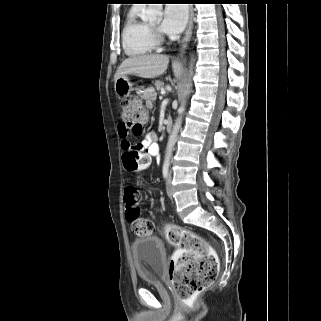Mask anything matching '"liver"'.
Returning <instances> with one entry per match:
<instances>
[{
    "mask_svg": "<svg viewBox=\"0 0 321 321\" xmlns=\"http://www.w3.org/2000/svg\"><path fill=\"white\" fill-rule=\"evenodd\" d=\"M169 57L162 54L138 55L125 59L117 69L115 80L129 75H137L142 78L153 79L164 74L167 70ZM174 74L180 77L182 65L179 62L173 63Z\"/></svg>",
    "mask_w": 321,
    "mask_h": 321,
    "instance_id": "6515ba94",
    "label": "liver"
}]
</instances>
